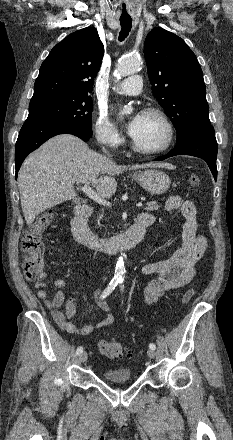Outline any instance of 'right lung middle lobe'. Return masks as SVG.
<instances>
[{"label":"right lung middle lobe","mask_w":233,"mask_h":440,"mask_svg":"<svg viewBox=\"0 0 233 440\" xmlns=\"http://www.w3.org/2000/svg\"><path fill=\"white\" fill-rule=\"evenodd\" d=\"M91 97H59L29 104L27 120H45L71 124L92 136Z\"/></svg>","instance_id":"1"}]
</instances>
